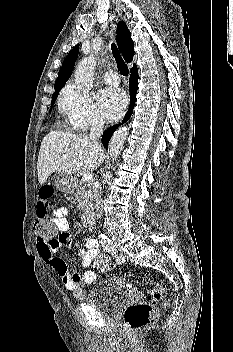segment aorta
<instances>
[{
  "mask_svg": "<svg viewBox=\"0 0 233 352\" xmlns=\"http://www.w3.org/2000/svg\"><path fill=\"white\" fill-rule=\"evenodd\" d=\"M96 66V58L93 54L83 58L77 65L75 70V84L77 89L82 92H88L93 86L94 72ZM128 135L127 127H121L115 131L109 142V154L111 159L115 160L124 147ZM102 242H106L107 238L104 234H100Z\"/></svg>",
  "mask_w": 233,
  "mask_h": 352,
  "instance_id": "obj_1",
  "label": "aorta"
}]
</instances>
